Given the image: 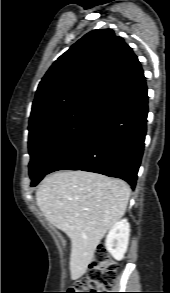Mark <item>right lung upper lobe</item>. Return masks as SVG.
Here are the masks:
<instances>
[{"mask_svg":"<svg viewBox=\"0 0 170 293\" xmlns=\"http://www.w3.org/2000/svg\"><path fill=\"white\" fill-rule=\"evenodd\" d=\"M145 81L140 62L111 29H96L50 67L36 91L29 128L82 103L104 106Z\"/></svg>","mask_w":170,"mask_h":293,"instance_id":"1","label":"right lung upper lobe"}]
</instances>
